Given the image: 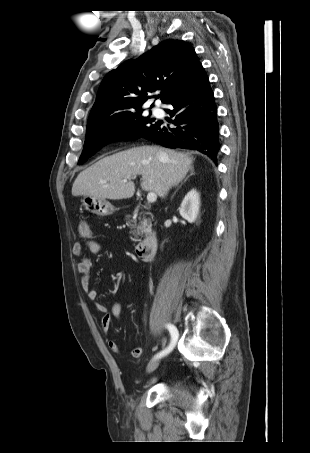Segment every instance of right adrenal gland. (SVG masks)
Listing matches in <instances>:
<instances>
[{"label": "right adrenal gland", "instance_id": "obj_1", "mask_svg": "<svg viewBox=\"0 0 310 453\" xmlns=\"http://www.w3.org/2000/svg\"><path fill=\"white\" fill-rule=\"evenodd\" d=\"M194 174H195V173H194V169H193V168H190V174L184 179V181L181 183V185L178 187V189L182 186V184H184V183L188 180V178H189L190 176H192V175H194ZM178 189H177V190H178ZM177 190H176V191H177ZM176 191H175V193L172 195L171 199H173L174 195L176 194Z\"/></svg>", "mask_w": 310, "mask_h": 453}]
</instances>
